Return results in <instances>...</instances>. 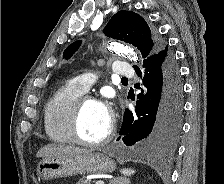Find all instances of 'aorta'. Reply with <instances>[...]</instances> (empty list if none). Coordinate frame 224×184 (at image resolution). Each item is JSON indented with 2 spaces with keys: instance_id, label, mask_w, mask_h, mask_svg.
<instances>
[{
  "instance_id": "aorta-1",
  "label": "aorta",
  "mask_w": 224,
  "mask_h": 184,
  "mask_svg": "<svg viewBox=\"0 0 224 184\" xmlns=\"http://www.w3.org/2000/svg\"><path fill=\"white\" fill-rule=\"evenodd\" d=\"M109 48L111 50H114L115 52L126 55L130 60H133V61L138 60L137 54L129 46H125V45L120 44V43L112 42L110 44Z\"/></svg>"
}]
</instances>
